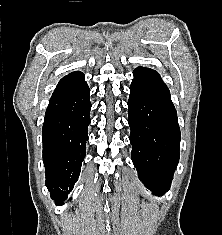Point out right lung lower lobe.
Returning <instances> with one entry per match:
<instances>
[{"mask_svg": "<svg viewBox=\"0 0 222 235\" xmlns=\"http://www.w3.org/2000/svg\"><path fill=\"white\" fill-rule=\"evenodd\" d=\"M84 74L63 77L47 107L43 130L46 186L57 205L64 204L77 181L85 157L91 102Z\"/></svg>", "mask_w": 222, "mask_h": 235, "instance_id": "98d812e1", "label": "right lung lower lobe"}]
</instances>
